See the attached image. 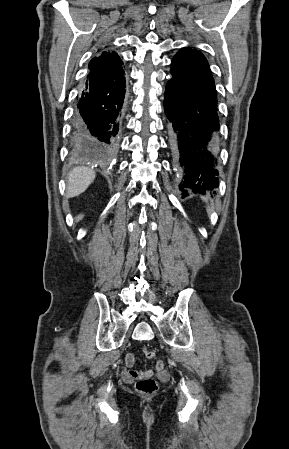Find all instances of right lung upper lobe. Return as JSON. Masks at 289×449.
Returning <instances> with one entry per match:
<instances>
[{
    "label": "right lung upper lobe",
    "instance_id": "right-lung-upper-lobe-1",
    "mask_svg": "<svg viewBox=\"0 0 289 449\" xmlns=\"http://www.w3.org/2000/svg\"><path fill=\"white\" fill-rule=\"evenodd\" d=\"M121 64V60L115 52H103L99 57H94L89 62V70H105Z\"/></svg>",
    "mask_w": 289,
    "mask_h": 449
}]
</instances>
